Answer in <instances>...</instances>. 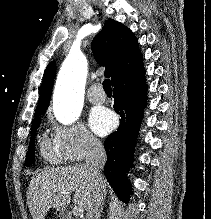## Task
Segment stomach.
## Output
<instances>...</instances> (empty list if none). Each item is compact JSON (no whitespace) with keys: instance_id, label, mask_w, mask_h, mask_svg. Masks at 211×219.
I'll list each match as a JSON object with an SVG mask.
<instances>
[{"instance_id":"0dacf381","label":"stomach","mask_w":211,"mask_h":219,"mask_svg":"<svg viewBox=\"0 0 211 219\" xmlns=\"http://www.w3.org/2000/svg\"><path fill=\"white\" fill-rule=\"evenodd\" d=\"M56 213L59 214V215H61V214H62V211H61V210H57Z\"/></svg>"}]
</instances>
